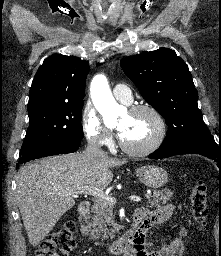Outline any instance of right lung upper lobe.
I'll list each match as a JSON object with an SVG mask.
<instances>
[{
  "mask_svg": "<svg viewBox=\"0 0 221 256\" xmlns=\"http://www.w3.org/2000/svg\"><path fill=\"white\" fill-rule=\"evenodd\" d=\"M89 64L61 54L46 58L30 88L28 110L46 105L83 103Z\"/></svg>",
  "mask_w": 221,
  "mask_h": 256,
  "instance_id": "obj_1",
  "label": "right lung upper lobe"
}]
</instances>
